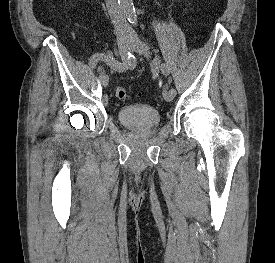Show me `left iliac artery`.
Masks as SVG:
<instances>
[{"instance_id": "left-iliac-artery-1", "label": "left iliac artery", "mask_w": 275, "mask_h": 263, "mask_svg": "<svg viewBox=\"0 0 275 263\" xmlns=\"http://www.w3.org/2000/svg\"><path fill=\"white\" fill-rule=\"evenodd\" d=\"M154 62L160 63L159 56H156ZM161 71L164 75H168L170 72L168 66L165 63H161ZM170 91L176 95V90L174 88H171Z\"/></svg>"}]
</instances>
